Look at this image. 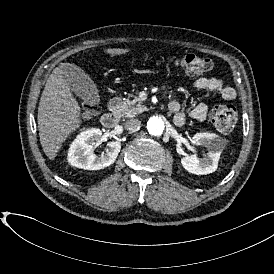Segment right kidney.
Wrapping results in <instances>:
<instances>
[{
    "label": "right kidney",
    "instance_id": "obj_1",
    "mask_svg": "<svg viewBox=\"0 0 274 274\" xmlns=\"http://www.w3.org/2000/svg\"><path fill=\"white\" fill-rule=\"evenodd\" d=\"M102 131L99 128H89L82 131L71 143L67 160L77 168L85 170H100L113 164L121 150L119 141L107 143L105 154H94L93 143L100 139Z\"/></svg>",
    "mask_w": 274,
    "mask_h": 274
}]
</instances>
